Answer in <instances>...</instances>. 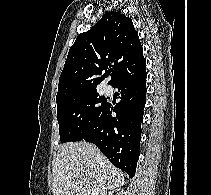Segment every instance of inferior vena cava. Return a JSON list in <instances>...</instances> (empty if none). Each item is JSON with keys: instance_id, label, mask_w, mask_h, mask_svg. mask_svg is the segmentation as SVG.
<instances>
[{"instance_id": "1", "label": "inferior vena cava", "mask_w": 211, "mask_h": 195, "mask_svg": "<svg viewBox=\"0 0 211 195\" xmlns=\"http://www.w3.org/2000/svg\"><path fill=\"white\" fill-rule=\"evenodd\" d=\"M101 157V155L100 154H98V158H100Z\"/></svg>"}]
</instances>
